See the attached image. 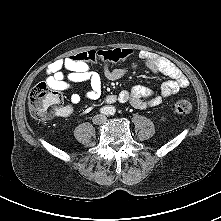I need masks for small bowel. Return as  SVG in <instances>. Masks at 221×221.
Returning a JSON list of instances; mask_svg holds the SVG:
<instances>
[{
	"instance_id": "c3829d8e",
	"label": "small bowel",
	"mask_w": 221,
	"mask_h": 221,
	"mask_svg": "<svg viewBox=\"0 0 221 221\" xmlns=\"http://www.w3.org/2000/svg\"><path fill=\"white\" fill-rule=\"evenodd\" d=\"M138 58V62H132L127 67L112 68L109 64H104L102 73L106 79L116 81L126 76L129 71L143 65L152 73L163 74L170 80L162 84L159 94H155L150 88L140 85L124 90L119 94L121 102H129L133 107L141 109L155 107L161 104L165 98L188 87V78L168 59L148 51H140ZM64 70H67V73ZM80 82H88L90 88L83 94L75 92L70 95L69 104L63 107L61 112L64 117L70 116L74 106L83 99L95 101L101 97L102 76L90 69L87 64L74 61L73 57L57 59L47 69L46 83L52 89L69 91L73 84Z\"/></svg>"
}]
</instances>
